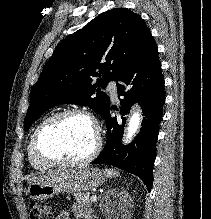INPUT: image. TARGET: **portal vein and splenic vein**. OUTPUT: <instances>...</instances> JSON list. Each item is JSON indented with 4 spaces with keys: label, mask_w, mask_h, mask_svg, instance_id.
Listing matches in <instances>:
<instances>
[{
    "label": "portal vein and splenic vein",
    "mask_w": 211,
    "mask_h": 219,
    "mask_svg": "<svg viewBox=\"0 0 211 219\" xmlns=\"http://www.w3.org/2000/svg\"><path fill=\"white\" fill-rule=\"evenodd\" d=\"M91 199H92V201H96L97 195H96V194H93V195L91 196Z\"/></svg>",
    "instance_id": "portal-vein-and-splenic-vein-1"
}]
</instances>
